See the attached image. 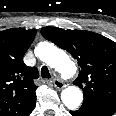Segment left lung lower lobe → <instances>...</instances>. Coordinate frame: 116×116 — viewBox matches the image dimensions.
I'll use <instances>...</instances> for the list:
<instances>
[{"label": "left lung lower lobe", "instance_id": "0a47b994", "mask_svg": "<svg viewBox=\"0 0 116 116\" xmlns=\"http://www.w3.org/2000/svg\"><path fill=\"white\" fill-rule=\"evenodd\" d=\"M116 112V103L88 100L83 101L81 108L70 111L73 116H112Z\"/></svg>", "mask_w": 116, "mask_h": 116}]
</instances>
